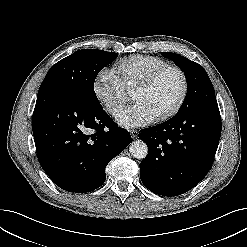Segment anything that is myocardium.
<instances>
[{"label":"myocardium","mask_w":247,"mask_h":247,"mask_svg":"<svg viewBox=\"0 0 247 247\" xmlns=\"http://www.w3.org/2000/svg\"><path fill=\"white\" fill-rule=\"evenodd\" d=\"M169 70H175L176 72L179 73V75L181 76L182 79V90L181 93L179 95V98L177 99V101L175 102V104L166 112H164L163 114L157 116L155 119L156 121H165L169 118H171L172 116H174L182 107L187 94H188V90H189V81H188V77L186 75V73L184 72V70L177 66V65H166L164 67H161L155 71H153L152 73L148 74L144 79H142L136 86L135 89H139V90H143V89H147L149 88L163 73L169 71Z\"/></svg>","instance_id":"f54148a6"}]
</instances>
